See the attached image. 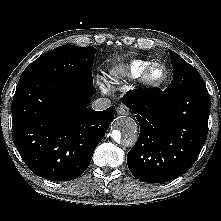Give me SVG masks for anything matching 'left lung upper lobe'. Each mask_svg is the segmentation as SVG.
<instances>
[{"mask_svg":"<svg viewBox=\"0 0 221 221\" xmlns=\"http://www.w3.org/2000/svg\"><path fill=\"white\" fill-rule=\"evenodd\" d=\"M171 63L173 66V80L165 89L171 95L180 92L206 88V85L199 72L179 55L169 50Z\"/></svg>","mask_w":221,"mask_h":221,"instance_id":"left-lung-upper-lobe-1","label":"left lung upper lobe"}]
</instances>
